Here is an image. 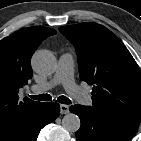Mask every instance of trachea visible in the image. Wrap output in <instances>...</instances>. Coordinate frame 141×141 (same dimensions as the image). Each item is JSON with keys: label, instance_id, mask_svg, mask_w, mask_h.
<instances>
[{"label": "trachea", "instance_id": "obj_1", "mask_svg": "<svg viewBox=\"0 0 141 141\" xmlns=\"http://www.w3.org/2000/svg\"><path fill=\"white\" fill-rule=\"evenodd\" d=\"M30 98L39 101L52 100V97L49 94L31 95ZM57 101L62 104H71V101L65 96H59Z\"/></svg>", "mask_w": 141, "mask_h": 141}]
</instances>
